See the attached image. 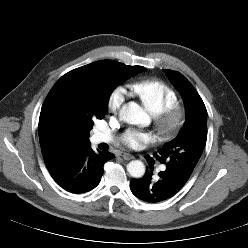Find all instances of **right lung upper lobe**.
Wrapping results in <instances>:
<instances>
[{
  "instance_id": "right-lung-upper-lobe-1",
  "label": "right lung upper lobe",
  "mask_w": 248,
  "mask_h": 248,
  "mask_svg": "<svg viewBox=\"0 0 248 248\" xmlns=\"http://www.w3.org/2000/svg\"><path fill=\"white\" fill-rule=\"evenodd\" d=\"M111 61V60H101ZM89 137L75 123L56 117L43 105L39 118V140L47 168L89 143Z\"/></svg>"
}]
</instances>
